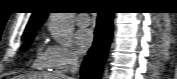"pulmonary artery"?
<instances>
[{
  "instance_id": "obj_1",
  "label": "pulmonary artery",
  "mask_w": 177,
  "mask_h": 79,
  "mask_svg": "<svg viewBox=\"0 0 177 79\" xmlns=\"http://www.w3.org/2000/svg\"><path fill=\"white\" fill-rule=\"evenodd\" d=\"M75 21H76V24L80 26H87L90 23V20L87 14L77 15Z\"/></svg>"
}]
</instances>
